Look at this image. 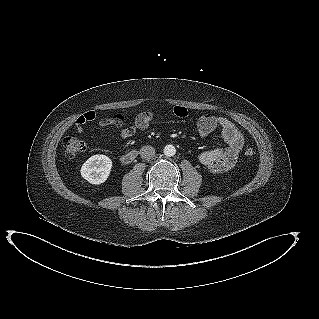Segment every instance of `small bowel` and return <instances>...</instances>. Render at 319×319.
Here are the masks:
<instances>
[{
  "label": "small bowel",
  "instance_id": "c3829d8e",
  "mask_svg": "<svg viewBox=\"0 0 319 319\" xmlns=\"http://www.w3.org/2000/svg\"><path fill=\"white\" fill-rule=\"evenodd\" d=\"M173 114L178 118H185L188 115V110L182 106H175L173 108ZM153 116V111L139 113L136 116L134 123L132 125H127L123 122V118L120 115H116L102 119L100 125L119 127L121 128L120 137L122 139H128L138 130L147 129ZM84 124L85 123L80 121L76 123L79 132L83 131ZM218 128L225 146L202 152L199 156V162L215 173L231 169L235 165L244 144V136L241 131L232 121L225 117L205 114L197 121V131L202 137L208 136Z\"/></svg>",
  "mask_w": 319,
  "mask_h": 319
}]
</instances>
